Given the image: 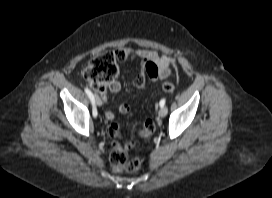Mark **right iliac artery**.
<instances>
[{
    "label": "right iliac artery",
    "mask_w": 272,
    "mask_h": 198,
    "mask_svg": "<svg viewBox=\"0 0 272 198\" xmlns=\"http://www.w3.org/2000/svg\"><path fill=\"white\" fill-rule=\"evenodd\" d=\"M85 93L88 95L91 103H92V113H93V116L96 117L97 116V108H96V102H95V97L93 95V93L88 89V88H85Z\"/></svg>",
    "instance_id": "right-iliac-artery-1"
}]
</instances>
